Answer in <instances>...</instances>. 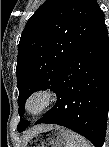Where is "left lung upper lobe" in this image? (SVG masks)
<instances>
[{"instance_id":"left-lung-upper-lobe-1","label":"left lung upper lobe","mask_w":109,"mask_h":147,"mask_svg":"<svg viewBox=\"0 0 109 147\" xmlns=\"http://www.w3.org/2000/svg\"><path fill=\"white\" fill-rule=\"evenodd\" d=\"M104 18L96 0H47L28 20L18 46L19 114L35 91L55 90L63 67ZM20 121L18 130L26 128Z\"/></svg>"}]
</instances>
